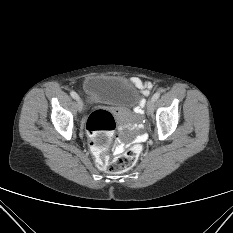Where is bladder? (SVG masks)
I'll return each mask as SVG.
<instances>
[{
  "instance_id": "31cf9c89",
  "label": "bladder",
  "mask_w": 233,
  "mask_h": 233,
  "mask_svg": "<svg viewBox=\"0 0 233 233\" xmlns=\"http://www.w3.org/2000/svg\"><path fill=\"white\" fill-rule=\"evenodd\" d=\"M83 90L90 103L129 108L140 101L137 87L128 79L112 75H91L84 79ZM99 145V141H96Z\"/></svg>"
}]
</instances>
